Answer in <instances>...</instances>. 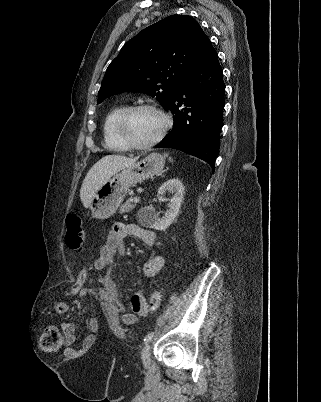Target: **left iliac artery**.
Listing matches in <instances>:
<instances>
[{
  "label": "left iliac artery",
  "mask_w": 321,
  "mask_h": 402,
  "mask_svg": "<svg viewBox=\"0 0 321 402\" xmlns=\"http://www.w3.org/2000/svg\"><path fill=\"white\" fill-rule=\"evenodd\" d=\"M153 336H154V332H150V333L145 337L144 343H145V344L149 343V342L152 340Z\"/></svg>",
  "instance_id": "left-iliac-artery-1"
}]
</instances>
